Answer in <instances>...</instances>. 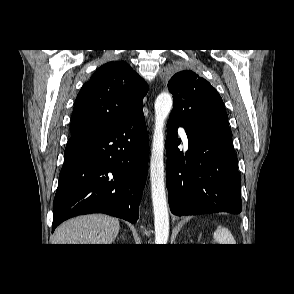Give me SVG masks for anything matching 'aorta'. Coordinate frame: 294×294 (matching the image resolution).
<instances>
[{"label": "aorta", "instance_id": "1", "mask_svg": "<svg viewBox=\"0 0 294 294\" xmlns=\"http://www.w3.org/2000/svg\"><path fill=\"white\" fill-rule=\"evenodd\" d=\"M173 105L169 93H161L155 100V127L150 158V182L154 211L155 244H167L169 214L164 183V125Z\"/></svg>", "mask_w": 294, "mask_h": 294}]
</instances>
